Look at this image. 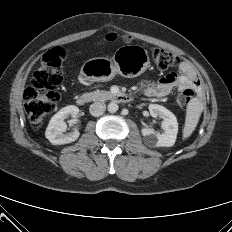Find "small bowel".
<instances>
[{
  "instance_id": "small-bowel-1",
  "label": "small bowel",
  "mask_w": 232,
  "mask_h": 232,
  "mask_svg": "<svg viewBox=\"0 0 232 232\" xmlns=\"http://www.w3.org/2000/svg\"><path fill=\"white\" fill-rule=\"evenodd\" d=\"M192 88L200 90L201 85L193 65L184 60L179 65L178 73H169L157 83H140V89L148 97L163 98L175 89Z\"/></svg>"
}]
</instances>
